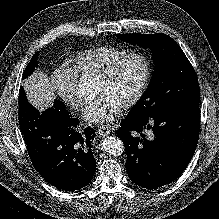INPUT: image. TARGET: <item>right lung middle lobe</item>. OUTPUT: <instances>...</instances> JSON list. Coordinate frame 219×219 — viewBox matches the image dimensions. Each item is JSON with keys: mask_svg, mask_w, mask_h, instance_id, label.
Segmentation results:
<instances>
[{"mask_svg": "<svg viewBox=\"0 0 219 219\" xmlns=\"http://www.w3.org/2000/svg\"><path fill=\"white\" fill-rule=\"evenodd\" d=\"M38 54H39V52H37L32 57V59L30 60L29 64L27 65V67H26V69H25V71L23 73V78H26L27 76H29L34 71V69H35V67L37 65ZM54 104L59 106V107L65 108L62 101L55 100Z\"/></svg>", "mask_w": 219, "mask_h": 219, "instance_id": "right-lung-middle-lobe-1", "label": "right lung middle lobe"}]
</instances>
